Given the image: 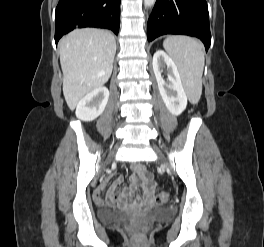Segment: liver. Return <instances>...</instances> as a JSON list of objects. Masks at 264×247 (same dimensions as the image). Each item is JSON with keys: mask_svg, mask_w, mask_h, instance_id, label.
Segmentation results:
<instances>
[{"mask_svg": "<svg viewBox=\"0 0 264 247\" xmlns=\"http://www.w3.org/2000/svg\"><path fill=\"white\" fill-rule=\"evenodd\" d=\"M63 94L73 110L80 100L110 78L116 53L114 36L105 30L77 29L59 42Z\"/></svg>", "mask_w": 264, "mask_h": 247, "instance_id": "6515ba94", "label": "liver"}]
</instances>
